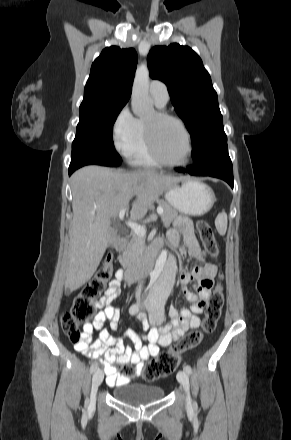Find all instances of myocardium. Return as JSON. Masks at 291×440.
Segmentation results:
<instances>
[{"label": "myocardium", "mask_w": 291, "mask_h": 440, "mask_svg": "<svg viewBox=\"0 0 291 440\" xmlns=\"http://www.w3.org/2000/svg\"><path fill=\"white\" fill-rule=\"evenodd\" d=\"M154 114H155V119L158 121L171 120L180 126L186 137L187 154L185 159L181 162H169L165 160L160 154L155 142L154 126L144 120L145 137L151 155L158 163L166 167L178 168L187 165L193 153L192 137L187 126L185 125L182 119H180L175 115L167 113L163 110H156Z\"/></svg>", "instance_id": "f54148a6"}]
</instances>
